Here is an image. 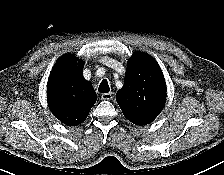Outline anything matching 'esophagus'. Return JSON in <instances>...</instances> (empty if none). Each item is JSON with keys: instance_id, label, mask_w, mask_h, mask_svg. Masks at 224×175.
<instances>
[{"instance_id": "obj_1", "label": "esophagus", "mask_w": 224, "mask_h": 175, "mask_svg": "<svg viewBox=\"0 0 224 175\" xmlns=\"http://www.w3.org/2000/svg\"><path fill=\"white\" fill-rule=\"evenodd\" d=\"M113 98H114L113 93H104V94L101 95V99L102 100H108V101H110Z\"/></svg>"}]
</instances>
